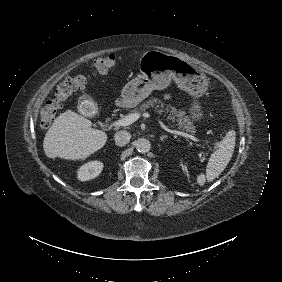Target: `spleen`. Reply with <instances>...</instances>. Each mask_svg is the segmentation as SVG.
I'll list each match as a JSON object with an SVG mask.
<instances>
[{
  "mask_svg": "<svg viewBox=\"0 0 282 282\" xmlns=\"http://www.w3.org/2000/svg\"><path fill=\"white\" fill-rule=\"evenodd\" d=\"M235 147V132L229 131L225 137L213 143L212 153L206 165V176L199 175L198 183L203 185L208 180H213L225 169L229 163Z\"/></svg>",
  "mask_w": 282,
  "mask_h": 282,
  "instance_id": "obj_1",
  "label": "spleen"
}]
</instances>
